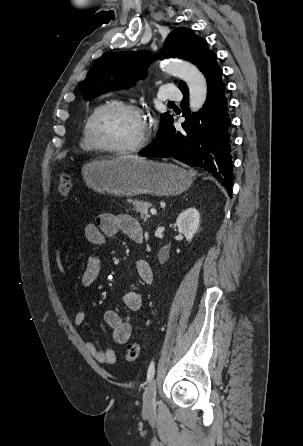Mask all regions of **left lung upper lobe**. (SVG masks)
<instances>
[{
  "label": "left lung upper lobe",
  "instance_id": "left-lung-upper-lobe-1",
  "mask_svg": "<svg viewBox=\"0 0 303 446\" xmlns=\"http://www.w3.org/2000/svg\"><path fill=\"white\" fill-rule=\"evenodd\" d=\"M213 55L215 53L209 50L205 39L195 35L189 28L180 27L168 35L157 57H150L146 51L104 53L94 61L80 85V91L86 100H90L99 94L132 86L135 80L145 77L148 60L151 58H183L203 71ZM178 85L180 90L187 87L183 81ZM161 118L160 128L173 117L164 113Z\"/></svg>",
  "mask_w": 303,
  "mask_h": 446
}]
</instances>
